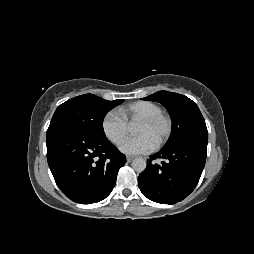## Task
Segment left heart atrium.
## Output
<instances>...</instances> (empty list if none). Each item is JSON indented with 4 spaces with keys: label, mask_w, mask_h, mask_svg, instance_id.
<instances>
[{
    "label": "left heart atrium",
    "mask_w": 254,
    "mask_h": 254,
    "mask_svg": "<svg viewBox=\"0 0 254 254\" xmlns=\"http://www.w3.org/2000/svg\"><path fill=\"white\" fill-rule=\"evenodd\" d=\"M154 146V142L148 136L137 135L126 139L120 150L127 155H139L150 152Z\"/></svg>",
    "instance_id": "obj_1"
}]
</instances>
